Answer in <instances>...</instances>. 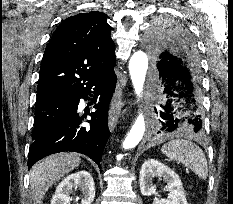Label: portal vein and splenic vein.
<instances>
[{
  "mask_svg": "<svg viewBox=\"0 0 233 204\" xmlns=\"http://www.w3.org/2000/svg\"><path fill=\"white\" fill-rule=\"evenodd\" d=\"M186 171L189 172V169L187 168Z\"/></svg>",
  "mask_w": 233,
  "mask_h": 204,
  "instance_id": "portal-vein-and-splenic-vein-1",
  "label": "portal vein and splenic vein"
}]
</instances>
